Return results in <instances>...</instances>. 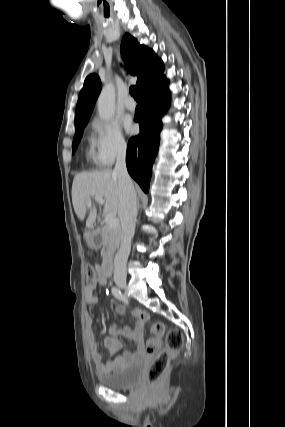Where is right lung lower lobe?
<instances>
[{"label": "right lung lower lobe", "mask_w": 285, "mask_h": 427, "mask_svg": "<svg viewBox=\"0 0 285 427\" xmlns=\"http://www.w3.org/2000/svg\"><path fill=\"white\" fill-rule=\"evenodd\" d=\"M139 92L141 102L134 119L139 122L140 133L128 142L126 165L131 177L147 192L159 146L161 117L169 102L168 80L163 71L150 79Z\"/></svg>", "instance_id": "98d812e1"}]
</instances>
